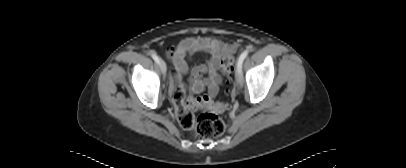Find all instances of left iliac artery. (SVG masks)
I'll use <instances>...</instances> for the list:
<instances>
[{
	"instance_id": "obj_1",
	"label": "left iliac artery",
	"mask_w": 406,
	"mask_h": 168,
	"mask_svg": "<svg viewBox=\"0 0 406 168\" xmlns=\"http://www.w3.org/2000/svg\"><path fill=\"white\" fill-rule=\"evenodd\" d=\"M249 51L245 50L238 59L237 67L241 70L244 59L247 57Z\"/></svg>"
}]
</instances>
